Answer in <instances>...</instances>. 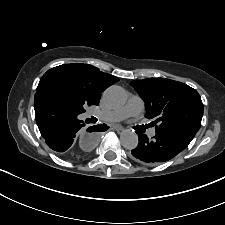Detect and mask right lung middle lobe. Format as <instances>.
<instances>
[{"label":"right lung middle lobe","mask_w":225,"mask_h":225,"mask_svg":"<svg viewBox=\"0 0 225 225\" xmlns=\"http://www.w3.org/2000/svg\"><path fill=\"white\" fill-rule=\"evenodd\" d=\"M36 90V94L48 97L78 114L92 105L82 89L62 77L41 79Z\"/></svg>","instance_id":"dd1d6c3e"}]
</instances>
